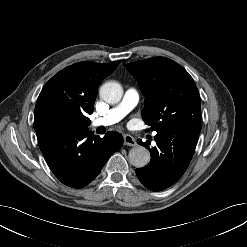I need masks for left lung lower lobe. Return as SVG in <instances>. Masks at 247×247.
Here are the masks:
<instances>
[{
	"label": "left lung lower lobe",
	"instance_id": "obj_1",
	"mask_svg": "<svg viewBox=\"0 0 247 247\" xmlns=\"http://www.w3.org/2000/svg\"><path fill=\"white\" fill-rule=\"evenodd\" d=\"M200 133L188 131L181 125H173L154 137L157 146H145L151 154L150 163L136 169L141 183L152 191H161L178 181L185 173L194 154Z\"/></svg>",
	"mask_w": 247,
	"mask_h": 247
}]
</instances>
